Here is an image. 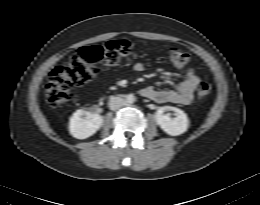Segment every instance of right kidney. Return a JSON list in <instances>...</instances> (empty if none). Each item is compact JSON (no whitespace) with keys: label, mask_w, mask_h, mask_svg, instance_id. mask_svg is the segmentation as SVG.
I'll return each mask as SVG.
<instances>
[{"label":"right kidney","mask_w":260,"mask_h":205,"mask_svg":"<svg viewBox=\"0 0 260 205\" xmlns=\"http://www.w3.org/2000/svg\"><path fill=\"white\" fill-rule=\"evenodd\" d=\"M87 113V111L79 109L70 118L69 132L77 139H86L92 136L102 126V116L97 113H89L86 118H83L82 116Z\"/></svg>","instance_id":"1"}]
</instances>
